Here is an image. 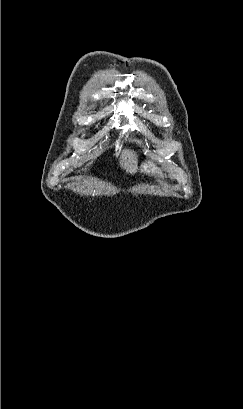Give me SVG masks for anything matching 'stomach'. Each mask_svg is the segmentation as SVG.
Returning <instances> with one entry per match:
<instances>
[{
	"label": "stomach",
	"instance_id": "stomach-1",
	"mask_svg": "<svg viewBox=\"0 0 243 409\" xmlns=\"http://www.w3.org/2000/svg\"><path fill=\"white\" fill-rule=\"evenodd\" d=\"M141 172L147 175L154 176L157 179H163L165 177V174L163 173V170L157 166L156 163H154L151 160L145 161L140 168Z\"/></svg>",
	"mask_w": 243,
	"mask_h": 409
}]
</instances>
